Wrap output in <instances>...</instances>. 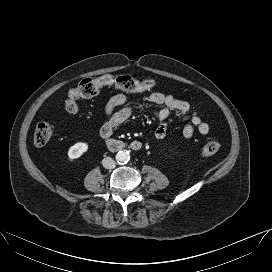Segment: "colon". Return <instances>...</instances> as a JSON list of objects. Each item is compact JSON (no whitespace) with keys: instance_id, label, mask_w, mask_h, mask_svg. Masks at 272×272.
I'll use <instances>...</instances> for the list:
<instances>
[{"instance_id":"colon-1","label":"colon","mask_w":272,"mask_h":272,"mask_svg":"<svg viewBox=\"0 0 272 272\" xmlns=\"http://www.w3.org/2000/svg\"><path fill=\"white\" fill-rule=\"evenodd\" d=\"M153 80L138 81L130 76H112L109 74L94 78H85L72 88L65 101V109L70 113L78 111V100L97 95L103 87H113L125 93H138L153 88ZM52 136V128L47 123H39L34 131V143L37 146L46 145ZM221 148L218 141L208 142L202 149V155L209 156L217 153Z\"/></svg>"}]
</instances>
